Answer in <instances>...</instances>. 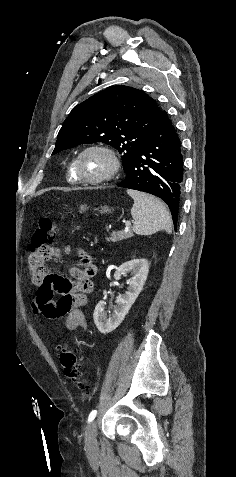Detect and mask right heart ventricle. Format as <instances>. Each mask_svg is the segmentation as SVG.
<instances>
[{
    "instance_id": "e07e8e85",
    "label": "right heart ventricle",
    "mask_w": 236,
    "mask_h": 477,
    "mask_svg": "<svg viewBox=\"0 0 236 477\" xmlns=\"http://www.w3.org/2000/svg\"><path fill=\"white\" fill-rule=\"evenodd\" d=\"M67 181L71 184L79 183L78 178L74 172V162H71L66 171Z\"/></svg>"
}]
</instances>
